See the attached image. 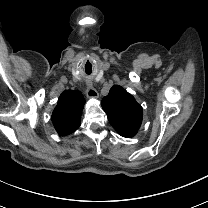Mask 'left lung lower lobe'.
I'll list each match as a JSON object with an SVG mask.
<instances>
[{"label":"left lung lower lobe","mask_w":208,"mask_h":208,"mask_svg":"<svg viewBox=\"0 0 208 208\" xmlns=\"http://www.w3.org/2000/svg\"><path fill=\"white\" fill-rule=\"evenodd\" d=\"M121 136L123 137H127V138H130V137H133L134 135H126V134H120Z\"/></svg>","instance_id":"0a47b994"}]
</instances>
